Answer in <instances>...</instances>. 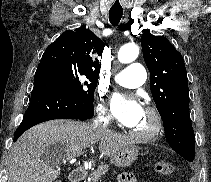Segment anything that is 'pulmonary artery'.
<instances>
[{"label":"pulmonary artery","mask_w":211,"mask_h":182,"mask_svg":"<svg viewBox=\"0 0 211 182\" xmlns=\"http://www.w3.org/2000/svg\"><path fill=\"white\" fill-rule=\"evenodd\" d=\"M146 79V69L140 63H132L114 76L119 85L129 88L141 86Z\"/></svg>","instance_id":"1"}]
</instances>
